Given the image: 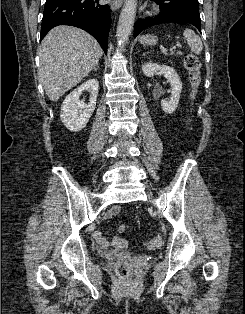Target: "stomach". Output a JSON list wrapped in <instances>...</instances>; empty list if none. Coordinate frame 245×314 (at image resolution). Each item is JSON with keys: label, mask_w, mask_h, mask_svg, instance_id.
<instances>
[{"label": "stomach", "mask_w": 245, "mask_h": 314, "mask_svg": "<svg viewBox=\"0 0 245 314\" xmlns=\"http://www.w3.org/2000/svg\"><path fill=\"white\" fill-rule=\"evenodd\" d=\"M139 41L141 44L154 45L157 42V37L151 36V35H146V36L140 37Z\"/></svg>", "instance_id": "1"}]
</instances>
